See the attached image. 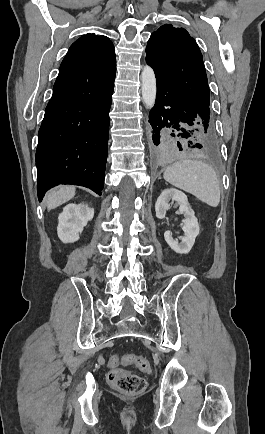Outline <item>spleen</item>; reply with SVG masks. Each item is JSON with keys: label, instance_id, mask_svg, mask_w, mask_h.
<instances>
[{"label": "spleen", "instance_id": "obj_1", "mask_svg": "<svg viewBox=\"0 0 265 434\" xmlns=\"http://www.w3.org/2000/svg\"><path fill=\"white\" fill-rule=\"evenodd\" d=\"M164 180L216 208L220 202V184L213 168L201 160H180L168 166Z\"/></svg>", "mask_w": 265, "mask_h": 434}]
</instances>
